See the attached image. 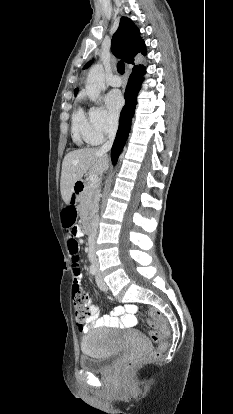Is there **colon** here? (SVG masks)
<instances>
[{
  "instance_id": "obj_1",
  "label": "colon",
  "mask_w": 233,
  "mask_h": 414,
  "mask_svg": "<svg viewBox=\"0 0 233 414\" xmlns=\"http://www.w3.org/2000/svg\"><path fill=\"white\" fill-rule=\"evenodd\" d=\"M75 218L76 213L72 209L71 211H65L63 215V224L67 232L68 236V249L71 253L73 250L78 252L79 244L76 238V227H75ZM79 261V258H78ZM75 281V280H74ZM72 301L75 310L76 321L80 329H82L85 324L89 321L88 315H90V311H87V301L88 296L84 288L80 287L78 293H73L72 287ZM88 312L87 314L85 312ZM147 320L150 326L153 327V330L150 333L151 339L159 343L157 349L151 352L150 356L153 358L159 357L161 352L165 349V344L162 342V337L164 334L168 333V327L163 315L155 308H150L147 312ZM140 362L139 357H130L127 359L123 365L124 371H129L135 368Z\"/></svg>"
}]
</instances>
